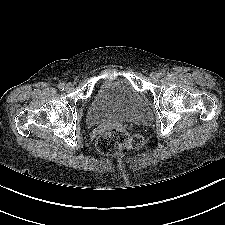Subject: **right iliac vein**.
Returning a JSON list of instances; mask_svg holds the SVG:
<instances>
[{"instance_id": "right-iliac-vein-1", "label": "right iliac vein", "mask_w": 225, "mask_h": 225, "mask_svg": "<svg viewBox=\"0 0 225 225\" xmlns=\"http://www.w3.org/2000/svg\"><path fill=\"white\" fill-rule=\"evenodd\" d=\"M74 89V85L72 84V83H68L67 85H66V90L67 91H72Z\"/></svg>"}]
</instances>
